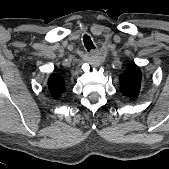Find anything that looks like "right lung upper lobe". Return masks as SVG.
I'll list each match as a JSON object with an SVG mask.
<instances>
[{
	"label": "right lung upper lobe",
	"mask_w": 169,
	"mask_h": 169,
	"mask_svg": "<svg viewBox=\"0 0 169 169\" xmlns=\"http://www.w3.org/2000/svg\"><path fill=\"white\" fill-rule=\"evenodd\" d=\"M48 87L51 95L54 98H59L65 90V81L60 76L52 74L48 80Z\"/></svg>",
	"instance_id": "1"
}]
</instances>
